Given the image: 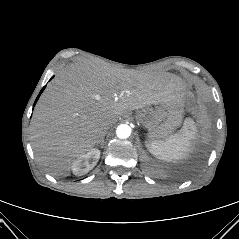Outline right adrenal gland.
<instances>
[{
    "label": "right adrenal gland",
    "mask_w": 239,
    "mask_h": 239,
    "mask_svg": "<svg viewBox=\"0 0 239 239\" xmlns=\"http://www.w3.org/2000/svg\"><path fill=\"white\" fill-rule=\"evenodd\" d=\"M106 133H107V131L103 132L101 139L99 141H97V143H96V145L100 144L101 148L104 147V137H105Z\"/></svg>",
    "instance_id": "right-adrenal-gland-1"
}]
</instances>
